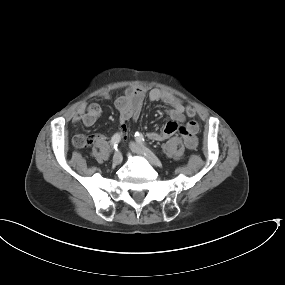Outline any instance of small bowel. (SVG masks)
I'll use <instances>...</instances> for the list:
<instances>
[{
    "mask_svg": "<svg viewBox=\"0 0 285 285\" xmlns=\"http://www.w3.org/2000/svg\"><path fill=\"white\" fill-rule=\"evenodd\" d=\"M147 94L144 86H130L124 94L115 101V107L119 113L120 134L123 135L127 131V122L136 120L141 113L142 104ZM104 98H109L110 93L105 92ZM148 98L151 102H162L169 106L168 115L170 121L162 130L150 131L147 136L153 141H163L177 133H180L183 143L187 149H195L198 145L197 132L199 125L195 120H191L183 124L186 117L187 107L182 101L170 93L154 88L148 92ZM102 113L99 104H82L72 114L74 122H82L86 126H92L98 120ZM90 143L98 141L102 138L100 135L88 136Z\"/></svg>",
    "mask_w": 285,
    "mask_h": 285,
    "instance_id": "c3829d8e",
    "label": "small bowel"
}]
</instances>
